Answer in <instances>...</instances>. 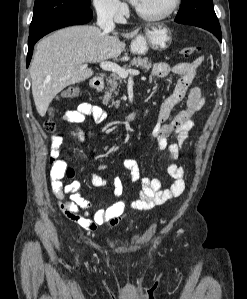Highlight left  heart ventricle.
Returning a JSON list of instances; mask_svg holds the SVG:
<instances>
[{
	"instance_id": "left-heart-ventricle-1",
	"label": "left heart ventricle",
	"mask_w": 247,
	"mask_h": 299,
	"mask_svg": "<svg viewBox=\"0 0 247 299\" xmlns=\"http://www.w3.org/2000/svg\"><path fill=\"white\" fill-rule=\"evenodd\" d=\"M170 0H140L136 7L147 13H157L163 11Z\"/></svg>"
}]
</instances>
